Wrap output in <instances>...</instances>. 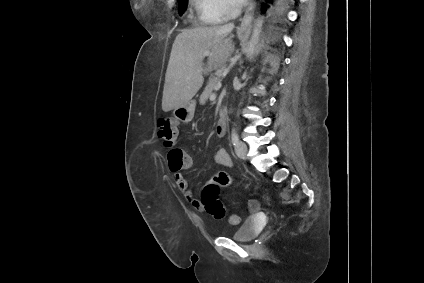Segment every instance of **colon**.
I'll return each mask as SVG.
<instances>
[{
    "instance_id": "1",
    "label": "colon",
    "mask_w": 424,
    "mask_h": 283,
    "mask_svg": "<svg viewBox=\"0 0 424 283\" xmlns=\"http://www.w3.org/2000/svg\"><path fill=\"white\" fill-rule=\"evenodd\" d=\"M158 136L169 148L168 162L172 172H177L189 166V159L185 151L174 147L178 137V128L176 120L171 116L161 117L158 119ZM233 183L232 177L226 172H218L210 180H208L202 188L201 203L209 214L216 219L227 217L231 225L239 223V216L226 214L225 208L219 199L220 188L229 187ZM252 208L256 207L255 202H251Z\"/></svg>"
}]
</instances>
